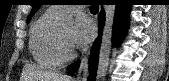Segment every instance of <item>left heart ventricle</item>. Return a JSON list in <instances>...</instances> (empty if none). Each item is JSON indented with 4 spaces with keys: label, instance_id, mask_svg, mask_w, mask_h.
I'll return each mask as SVG.
<instances>
[{
    "label": "left heart ventricle",
    "instance_id": "obj_1",
    "mask_svg": "<svg viewBox=\"0 0 169 81\" xmlns=\"http://www.w3.org/2000/svg\"><path fill=\"white\" fill-rule=\"evenodd\" d=\"M59 32H60V36L62 38V41L64 43V45L67 47V48H72L71 47V44H70V33H71V26H65L61 29H59Z\"/></svg>",
    "mask_w": 169,
    "mask_h": 81
}]
</instances>
